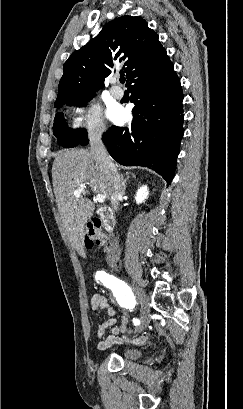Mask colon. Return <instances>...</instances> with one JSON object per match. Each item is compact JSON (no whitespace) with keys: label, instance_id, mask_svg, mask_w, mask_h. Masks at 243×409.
<instances>
[{"label":"colon","instance_id":"1","mask_svg":"<svg viewBox=\"0 0 243 409\" xmlns=\"http://www.w3.org/2000/svg\"><path fill=\"white\" fill-rule=\"evenodd\" d=\"M106 242L105 236L100 232L99 223L88 224L85 228V245L87 247L103 245Z\"/></svg>","mask_w":243,"mask_h":409}]
</instances>
